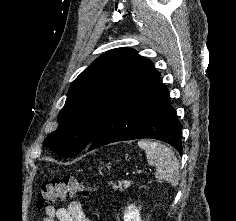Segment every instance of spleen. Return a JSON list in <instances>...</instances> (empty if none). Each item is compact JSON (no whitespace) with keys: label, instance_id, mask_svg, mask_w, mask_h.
I'll use <instances>...</instances> for the list:
<instances>
[{"label":"spleen","instance_id":"spleen-1","mask_svg":"<svg viewBox=\"0 0 236 221\" xmlns=\"http://www.w3.org/2000/svg\"><path fill=\"white\" fill-rule=\"evenodd\" d=\"M138 146L145 150L148 163L156 166L155 177L176 186L180 176L174 152L164 144L149 140H139Z\"/></svg>","mask_w":236,"mask_h":221}]
</instances>
